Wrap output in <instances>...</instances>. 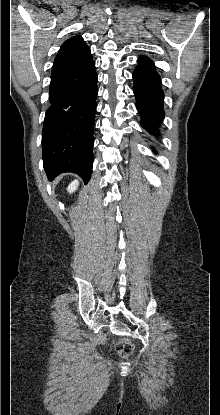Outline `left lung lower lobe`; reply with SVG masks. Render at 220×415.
I'll return each mask as SVG.
<instances>
[{
	"mask_svg": "<svg viewBox=\"0 0 220 415\" xmlns=\"http://www.w3.org/2000/svg\"><path fill=\"white\" fill-rule=\"evenodd\" d=\"M134 72L133 91L136 97V106L141 115V125L151 134H158V126L164 118L161 78L155 71L152 60L141 56Z\"/></svg>",
	"mask_w": 220,
	"mask_h": 415,
	"instance_id": "obj_1",
	"label": "left lung lower lobe"
}]
</instances>
